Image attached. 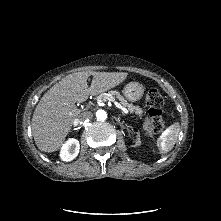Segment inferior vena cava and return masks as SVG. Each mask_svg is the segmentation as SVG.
Wrapping results in <instances>:
<instances>
[{
  "label": "inferior vena cava",
  "instance_id": "602c4592",
  "mask_svg": "<svg viewBox=\"0 0 221 221\" xmlns=\"http://www.w3.org/2000/svg\"><path fill=\"white\" fill-rule=\"evenodd\" d=\"M92 117H93L92 112L87 111V112H83V113L79 114L78 120L79 121H86V120L91 119Z\"/></svg>",
  "mask_w": 221,
  "mask_h": 221
}]
</instances>
